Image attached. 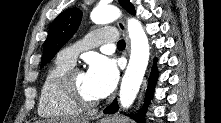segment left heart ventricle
I'll return each instance as SVG.
<instances>
[{
    "label": "left heart ventricle",
    "instance_id": "obj_1",
    "mask_svg": "<svg viewBox=\"0 0 221 123\" xmlns=\"http://www.w3.org/2000/svg\"><path fill=\"white\" fill-rule=\"evenodd\" d=\"M75 82L79 91L85 98L89 100L99 99V97L94 92L86 73L82 72V73L77 74L75 77Z\"/></svg>",
    "mask_w": 221,
    "mask_h": 123
}]
</instances>
